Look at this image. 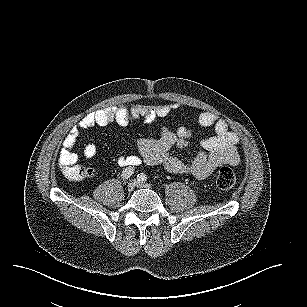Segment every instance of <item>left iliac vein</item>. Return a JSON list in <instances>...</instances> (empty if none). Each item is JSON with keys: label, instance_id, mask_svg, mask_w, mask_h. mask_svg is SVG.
<instances>
[{"label": "left iliac vein", "instance_id": "obj_1", "mask_svg": "<svg viewBox=\"0 0 307 307\" xmlns=\"http://www.w3.org/2000/svg\"><path fill=\"white\" fill-rule=\"evenodd\" d=\"M136 186L141 187V188H150L151 187V185L149 183L140 182V181L136 184Z\"/></svg>", "mask_w": 307, "mask_h": 307}]
</instances>
